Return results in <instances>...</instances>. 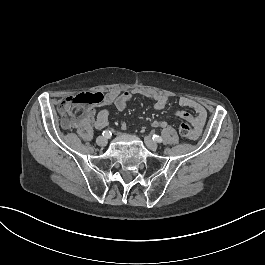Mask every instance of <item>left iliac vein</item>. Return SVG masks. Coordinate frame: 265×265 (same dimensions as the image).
Wrapping results in <instances>:
<instances>
[{
  "label": "left iliac vein",
  "mask_w": 265,
  "mask_h": 265,
  "mask_svg": "<svg viewBox=\"0 0 265 265\" xmlns=\"http://www.w3.org/2000/svg\"><path fill=\"white\" fill-rule=\"evenodd\" d=\"M144 141H145L146 146L150 150H156L158 148L157 143L154 140H152L149 136H145Z\"/></svg>",
  "instance_id": "4c4485c4"
}]
</instances>
